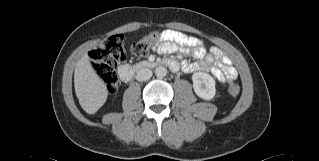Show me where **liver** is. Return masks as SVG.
<instances>
[{"mask_svg": "<svg viewBox=\"0 0 319 161\" xmlns=\"http://www.w3.org/2000/svg\"><path fill=\"white\" fill-rule=\"evenodd\" d=\"M74 86L79 104L88 114L96 113L107 100L106 84L96 74L87 54L83 55L76 64Z\"/></svg>", "mask_w": 319, "mask_h": 161, "instance_id": "6515ba94", "label": "liver"}]
</instances>
